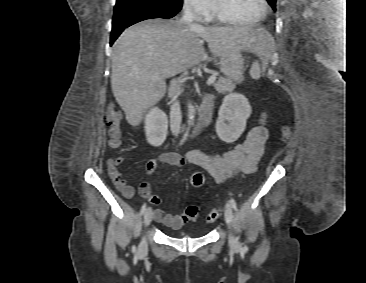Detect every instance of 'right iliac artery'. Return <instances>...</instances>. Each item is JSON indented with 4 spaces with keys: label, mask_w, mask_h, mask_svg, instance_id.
Listing matches in <instances>:
<instances>
[{
    "label": "right iliac artery",
    "mask_w": 366,
    "mask_h": 283,
    "mask_svg": "<svg viewBox=\"0 0 366 283\" xmlns=\"http://www.w3.org/2000/svg\"><path fill=\"white\" fill-rule=\"evenodd\" d=\"M187 134H188V131L185 133V135L183 136V139L181 140L180 142V145L184 143V140L186 139L187 137ZM146 211V204H144L141 208V214L143 215ZM133 251H135V247H133Z\"/></svg>",
    "instance_id": "82829eb1"
}]
</instances>
